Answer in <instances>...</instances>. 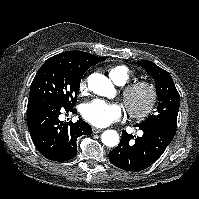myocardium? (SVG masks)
Here are the masks:
<instances>
[{
  "label": "myocardium",
  "mask_w": 199,
  "mask_h": 199,
  "mask_svg": "<svg viewBox=\"0 0 199 199\" xmlns=\"http://www.w3.org/2000/svg\"><path fill=\"white\" fill-rule=\"evenodd\" d=\"M140 94L144 96V101L140 106H136L134 101ZM122 97L130 117L141 120L153 112L158 99V91L152 82L138 80L124 88Z\"/></svg>",
  "instance_id": "1"
}]
</instances>
